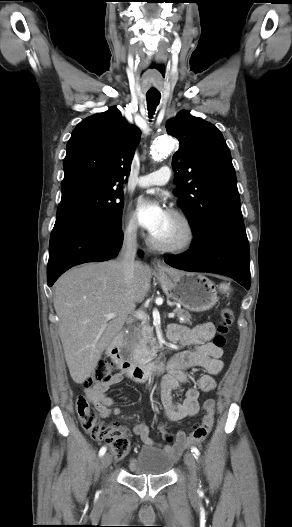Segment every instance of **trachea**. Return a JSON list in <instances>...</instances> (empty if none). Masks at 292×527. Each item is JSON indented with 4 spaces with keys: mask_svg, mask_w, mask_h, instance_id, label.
I'll return each instance as SVG.
<instances>
[{
    "mask_svg": "<svg viewBox=\"0 0 292 527\" xmlns=\"http://www.w3.org/2000/svg\"><path fill=\"white\" fill-rule=\"evenodd\" d=\"M146 99H147L148 114L150 117H152L156 110V107L160 103L161 95L159 93H147Z\"/></svg>",
    "mask_w": 292,
    "mask_h": 527,
    "instance_id": "obj_1",
    "label": "trachea"
}]
</instances>
